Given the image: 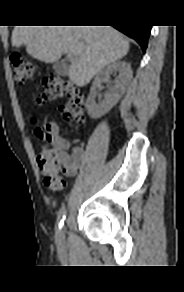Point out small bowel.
I'll return each mask as SVG.
<instances>
[{"label":"small bowel","mask_w":184,"mask_h":292,"mask_svg":"<svg viewBox=\"0 0 184 292\" xmlns=\"http://www.w3.org/2000/svg\"><path fill=\"white\" fill-rule=\"evenodd\" d=\"M51 144L56 151L57 161L62 173L68 177L74 176L83 163V148L81 146H74L71 152L68 153L71 144L59 135L58 128H56Z\"/></svg>","instance_id":"c3829d8e"}]
</instances>
